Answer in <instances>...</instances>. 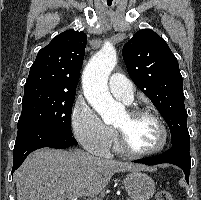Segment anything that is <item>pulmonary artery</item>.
Segmentation results:
<instances>
[{
  "label": "pulmonary artery",
  "mask_w": 201,
  "mask_h": 200,
  "mask_svg": "<svg viewBox=\"0 0 201 200\" xmlns=\"http://www.w3.org/2000/svg\"><path fill=\"white\" fill-rule=\"evenodd\" d=\"M109 89L114 97L130 103L134 96V87L130 80L121 74H113L109 79Z\"/></svg>",
  "instance_id": "obj_1"
}]
</instances>
